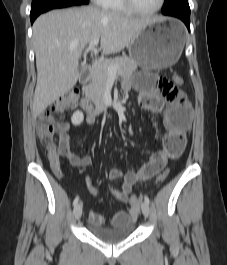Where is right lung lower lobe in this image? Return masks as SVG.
I'll return each mask as SVG.
<instances>
[{"label": "right lung lower lobe", "instance_id": "right-lung-lower-lobe-1", "mask_svg": "<svg viewBox=\"0 0 227 265\" xmlns=\"http://www.w3.org/2000/svg\"><path fill=\"white\" fill-rule=\"evenodd\" d=\"M82 4H85V3H82V2H66V3H61V4L55 6V7L51 8V9H54V8H65V7L75 6V5H82ZM37 16L38 15L30 16L31 23L34 22V20L36 19Z\"/></svg>", "mask_w": 227, "mask_h": 265}]
</instances>
